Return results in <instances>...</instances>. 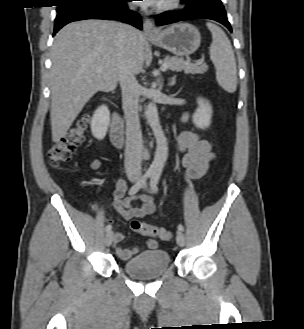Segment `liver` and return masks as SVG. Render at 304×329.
Wrapping results in <instances>:
<instances>
[{"label": "liver", "instance_id": "liver-1", "mask_svg": "<svg viewBox=\"0 0 304 329\" xmlns=\"http://www.w3.org/2000/svg\"><path fill=\"white\" fill-rule=\"evenodd\" d=\"M121 24L84 20L63 27L51 49V130L53 142L63 138L85 104L98 91L116 88L123 56ZM144 35L132 28L128 46L134 74L144 62ZM101 72H97V69Z\"/></svg>", "mask_w": 304, "mask_h": 329}]
</instances>
